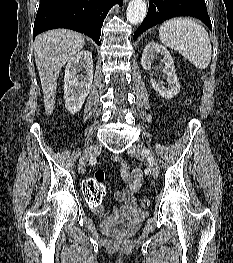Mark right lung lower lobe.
Returning a JSON list of instances; mask_svg holds the SVG:
<instances>
[{"mask_svg":"<svg viewBox=\"0 0 233 263\" xmlns=\"http://www.w3.org/2000/svg\"><path fill=\"white\" fill-rule=\"evenodd\" d=\"M123 0H40L33 36L54 28H67L84 33L97 45L103 21L115 4Z\"/></svg>","mask_w":233,"mask_h":263,"instance_id":"obj_1","label":"right lung lower lobe"}]
</instances>
